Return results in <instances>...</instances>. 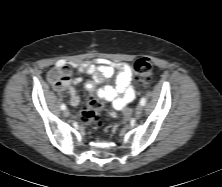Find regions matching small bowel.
<instances>
[{
    "instance_id": "obj_1",
    "label": "small bowel",
    "mask_w": 222,
    "mask_h": 187,
    "mask_svg": "<svg viewBox=\"0 0 222 187\" xmlns=\"http://www.w3.org/2000/svg\"><path fill=\"white\" fill-rule=\"evenodd\" d=\"M80 72L92 76V80L85 83L89 92H95L102 100L110 102L114 109L123 110L136 98V91L131 85L132 69L127 63H116L106 59L98 58L81 64H74ZM118 71L114 86L96 88L98 83L110 77ZM47 79L50 85L57 91H68L70 104L76 106L80 97L74 85L82 83V77H71L68 64L65 61L56 62L55 66L48 72Z\"/></svg>"
}]
</instances>
